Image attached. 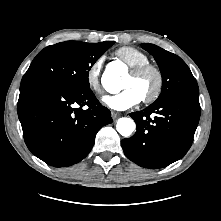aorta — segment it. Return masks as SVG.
<instances>
[{"label": "aorta", "mask_w": 221, "mask_h": 221, "mask_svg": "<svg viewBox=\"0 0 221 221\" xmlns=\"http://www.w3.org/2000/svg\"><path fill=\"white\" fill-rule=\"evenodd\" d=\"M122 71L114 66H108L102 77V84L111 93L121 90ZM135 122L131 118L123 117L117 121L116 129L122 136H130L135 130Z\"/></svg>", "instance_id": "obj_1"}]
</instances>
